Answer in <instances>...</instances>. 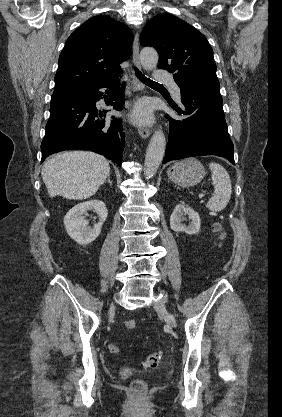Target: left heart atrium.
Here are the masks:
<instances>
[{"instance_id":"39dd6f15","label":"left heart atrium","mask_w":282,"mask_h":417,"mask_svg":"<svg viewBox=\"0 0 282 417\" xmlns=\"http://www.w3.org/2000/svg\"><path fill=\"white\" fill-rule=\"evenodd\" d=\"M150 107L146 102H141L135 110V115L138 119L142 121H147L150 119Z\"/></svg>"}]
</instances>
